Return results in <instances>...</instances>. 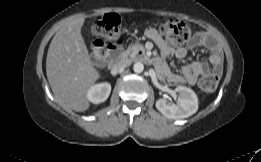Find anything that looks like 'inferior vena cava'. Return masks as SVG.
I'll use <instances>...</instances> for the list:
<instances>
[{"label":"inferior vena cava","instance_id":"1","mask_svg":"<svg viewBox=\"0 0 261 162\" xmlns=\"http://www.w3.org/2000/svg\"><path fill=\"white\" fill-rule=\"evenodd\" d=\"M131 64V61L129 59H123L120 60L119 62H117L114 66H113V70L114 71H120L126 67H128Z\"/></svg>","mask_w":261,"mask_h":162}]
</instances>
